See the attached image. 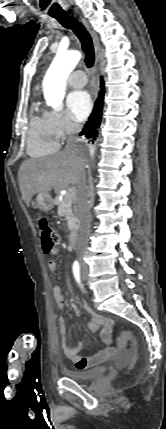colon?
Here are the masks:
<instances>
[{"mask_svg":"<svg viewBox=\"0 0 166 429\" xmlns=\"http://www.w3.org/2000/svg\"><path fill=\"white\" fill-rule=\"evenodd\" d=\"M38 228L42 241V249L45 253H49L60 243V236L44 218L39 219ZM134 342V336L128 330L121 332L117 338V345L120 348H125L129 343L134 344Z\"/></svg>","mask_w":166,"mask_h":429,"instance_id":"colon-1","label":"colon"}]
</instances>
